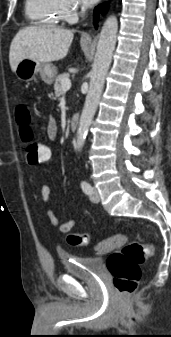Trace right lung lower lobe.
<instances>
[{
	"instance_id": "98d812e1",
	"label": "right lung lower lobe",
	"mask_w": 171,
	"mask_h": 337,
	"mask_svg": "<svg viewBox=\"0 0 171 337\" xmlns=\"http://www.w3.org/2000/svg\"><path fill=\"white\" fill-rule=\"evenodd\" d=\"M100 11L102 13H104L106 11V5L98 6V7L95 8V11H94V25H95L96 28H97V22H98V15H99Z\"/></svg>"
}]
</instances>
